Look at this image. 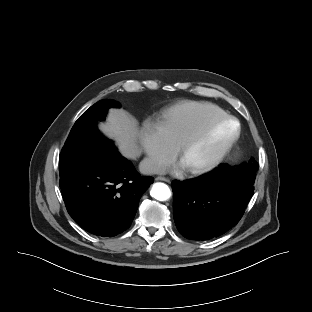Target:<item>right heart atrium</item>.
<instances>
[{
	"label": "right heart atrium",
	"mask_w": 312,
	"mask_h": 312,
	"mask_svg": "<svg viewBox=\"0 0 312 312\" xmlns=\"http://www.w3.org/2000/svg\"><path fill=\"white\" fill-rule=\"evenodd\" d=\"M140 142L146 155L147 169L153 173L163 169L177 151V146L168 137L162 121L155 118L144 121Z\"/></svg>",
	"instance_id": "right-heart-atrium-1"
}]
</instances>
